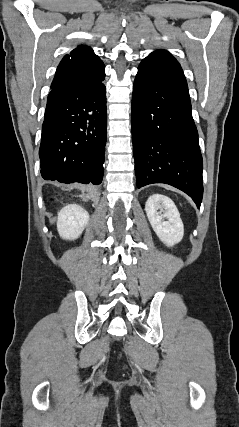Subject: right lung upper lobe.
I'll use <instances>...</instances> for the list:
<instances>
[{"mask_svg":"<svg viewBox=\"0 0 239 427\" xmlns=\"http://www.w3.org/2000/svg\"><path fill=\"white\" fill-rule=\"evenodd\" d=\"M105 65L93 50L80 45L61 60L51 88L72 79H83L100 74Z\"/></svg>","mask_w":239,"mask_h":427,"instance_id":"obj_1","label":"right lung upper lobe"}]
</instances>
